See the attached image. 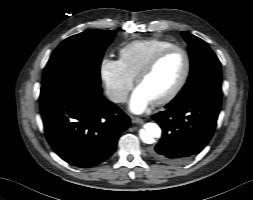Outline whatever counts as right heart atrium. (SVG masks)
<instances>
[{
  "label": "right heart atrium",
  "mask_w": 253,
  "mask_h": 200,
  "mask_svg": "<svg viewBox=\"0 0 253 200\" xmlns=\"http://www.w3.org/2000/svg\"><path fill=\"white\" fill-rule=\"evenodd\" d=\"M99 75L107 97L114 103L126 101L133 86V78L117 59L105 57L99 65Z\"/></svg>",
  "instance_id": "1"
}]
</instances>
